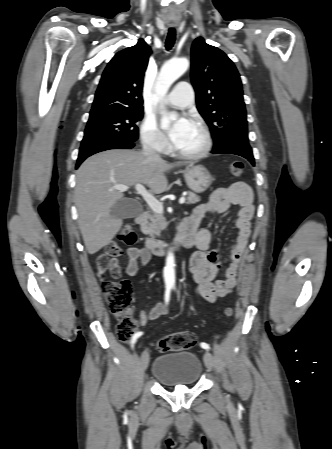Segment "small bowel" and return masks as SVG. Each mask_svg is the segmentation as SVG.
I'll list each match as a JSON object with an SVG mask.
<instances>
[{
	"instance_id": "1",
	"label": "small bowel",
	"mask_w": 332,
	"mask_h": 449,
	"mask_svg": "<svg viewBox=\"0 0 332 449\" xmlns=\"http://www.w3.org/2000/svg\"><path fill=\"white\" fill-rule=\"evenodd\" d=\"M252 201L253 194L250 187L244 182H236L230 187L216 190L208 202L198 205L189 216L195 228L194 245L197 248L191 257L190 269L196 283V294L208 302L226 297L236 285L237 271L242 263L251 232V219L254 213ZM230 205L240 207L236 220L238 233L230 249V262L225 269L224 277L219 278L220 264L217 261V252L211 248V234L207 229L200 228V224L210 214L226 212ZM127 256L128 276H135L139 266L147 265L151 258L149 251L141 247H129ZM166 312L165 305L157 304L151 310L140 312L136 323L140 326L146 325Z\"/></svg>"
}]
</instances>
